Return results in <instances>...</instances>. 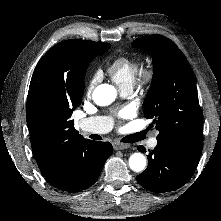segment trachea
<instances>
[{
    "label": "trachea",
    "instance_id": "obj_1",
    "mask_svg": "<svg viewBox=\"0 0 221 221\" xmlns=\"http://www.w3.org/2000/svg\"><path fill=\"white\" fill-rule=\"evenodd\" d=\"M90 137H91L92 139L98 140L95 135H91ZM122 142H129V140L123 139Z\"/></svg>",
    "mask_w": 221,
    "mask_h": 221
}]
</instances>
